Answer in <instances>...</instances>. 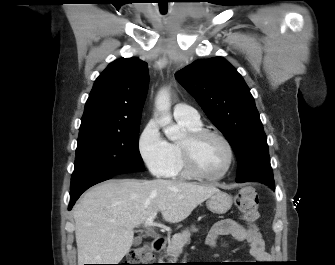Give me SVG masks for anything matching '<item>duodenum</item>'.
I'll use <instances>...</instances> for the list:
<instances>
[{
	"mask_svg": "<svg viewBox=\"0 0 335 265\" xmlns=\"http://www.w3.org/2000/svg\"><path fill=\"white\" fill-rule=\"evenodd\" d=\"M166 245V238L164 236H157L153 241H152V249L154 252L158 253L160 252Z\"/></svg>",
	"mask_w": 335,
	"mask_h": 265,
	"instance_id": "410a0bca",
	"label": "duodenum"
}]
</instances>
